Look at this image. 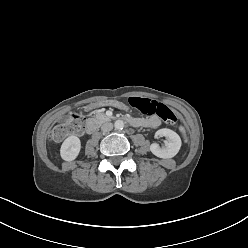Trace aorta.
<instances>
[{
	"instance_id": "1",
	"label": "aorta",
	"mask_w": 248,
	"mask_h": 248,
	"mask_svg": "<svg viewBox=\"0 0 248 248\" xmlns=\"http://www.w3.org/2000/svg\"><path fill=\"white\" fill-rule=\"evenodd\" d=\"M114 127L117 130H122L124 128V122L122 120H116L114 123Z\"/></svg>"
}]
</instances>
